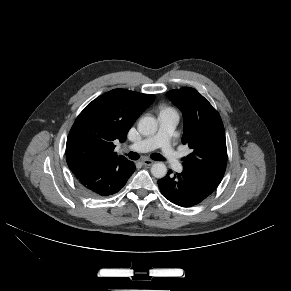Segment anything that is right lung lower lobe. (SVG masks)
Returning <instances> with one entry per match:
<instances>
[{"label":"right lung lower lobe","instance_id":"1","mask_svg":"<svg viewBox=\"0 0 291 291\" xmlns=\"http://www.w3.org/2000/svg\"><path fill=\"white\" fill-rule=\"evenodd\" d=\"M136 167L124 159H104L89 163L73 172L81 190L93 198L106 197L122 189Z\"/></svg>","mask_w":291,"mask_h":291}]
</instances>
